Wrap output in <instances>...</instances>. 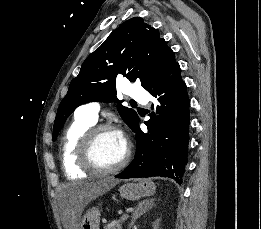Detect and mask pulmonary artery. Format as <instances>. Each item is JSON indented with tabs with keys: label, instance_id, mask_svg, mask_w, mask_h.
<instances>
[{
	"label": "pulmonary artery",
	"instance_id": "e3ab8cb5",
	"mask_svg": "<svg viewBox=\"0 0 261 229\" xmlns=\"http://www.w3.org/2000/svg\"><path fill=\"white\" fill-rule=\"evenodd\" d=\"M130 93L126 91L128 96L132 95L133 99H148V91L147 89H141V84H131L130 85ZM138 105H147V100H138ZM101 109V103L98 101H92L86 103L80 107V111L83 116L91 120L92 122L96 123L98 120V113Z\"/></svg>",
	"mask_w": 261,
	"mask_h": 229
}]
</instances>
